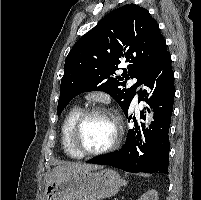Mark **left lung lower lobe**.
I'll return each mask as SVG.
<instances>
[{"label":"left lung lower lobe","instance_id":"1","mask_svg":"<svg viewBox=\"0 0 201 200\" xmlns=\"http://www.w3.org/2000/svg\"><path fill=\"white\" fill-rule=\"evenodd\" d=\"M141 84L153 90L138 91L139 101H146L155 112L150 129L145 130L144 124L141 123L143 137L136 123L135 129L128 131L126 142L119 151L95 157L87 163L110 165L133 173L168 174L170 149L168 133L175 96L174 72L168 52L145 76ZM125 114L128 116V111ZM144 114L145 111L142 110L141 119H145Z\"/></svg>","mask_w":201,"mask_h":200}]
</instances>
